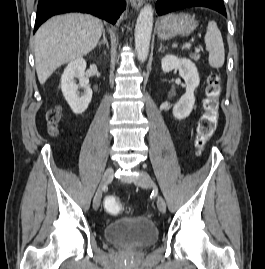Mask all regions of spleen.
Wrapping results in <instances>:
<instances>
[{
	"mask_svg": "<svg viewBox=\"0 0 265 269\" xmlns=\"http://www.w3.org/2000/svg\"><path fill=\"white\" fill-rule=\"evenodd\" d=\"M204 40L209 51V65L219 69L224 64L225 50L221 32L215 21H209Z\"/></svg>",
	"mask_w": 265,
	"mask_h": 269,
	"instance_id": "3e777b00",
	"label": "spleen"
}]
</instances>
